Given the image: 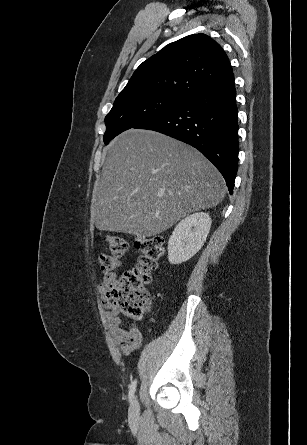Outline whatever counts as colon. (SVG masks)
Wrapping results in <instances>:
<instances>
[{"mask_svg": "<svg viewBox=\"0 0 307 445\" xmlns=\"http://www.w3.org/2000/svg\"><path fill=\"white\" fill-rule=\"evenodd\" d=\"M110 253L99 257L100 268L110 273L121 266V259L128 250L126 240L118 235L106 237ZM139 258L134 268L125 271L107 290V297L124 316L140 321L149 312L152 299L146 289L151 273L158 267L164 255V240L160 237H139L135 241Z\"/></svg>", "mask_w": 307, "mask_h": 445, "instance_id": "5ec220e1", "label": "colon"}]
</instances>
